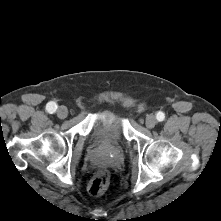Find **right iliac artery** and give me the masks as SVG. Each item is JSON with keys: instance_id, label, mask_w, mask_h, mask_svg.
Wrapping results in <instances>:
<instances>
[{"instance_id": "82829eb1", "label": "right iliac artery", "mask_w": 221, "mask_h": 221, "mask_svg": "<svg viewBox=\"0 0 221 221\" xmlns=\"http://www.w3.org/2000/svg\"><path fill=\"white\" fill-rule=\"evenodd\" d=\"M46 110H47L49 113H51V114L55 113L56 110H57V105H56V103H54V102H49V103L46 105Z\"/></svg>"}]
</instances>
